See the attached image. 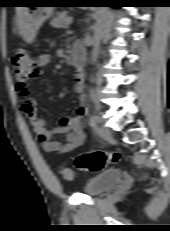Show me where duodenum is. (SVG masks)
Segmentation results:
<instances>
[{"label":"duodenum","instance_id":"410a0bca","mask_svg":"<svg viewBox=\"0 0 170 231\" xmlns=\"http://www.w3.org/2000/svg\"><path fill=\"white\" fill-rule=\"evenodd\" d=\"M70 63L78 70V73L84 74V54L79 50H74L69 55Z\"/></svg>","mask_w":170,"mask_h":231}]
</instances>
